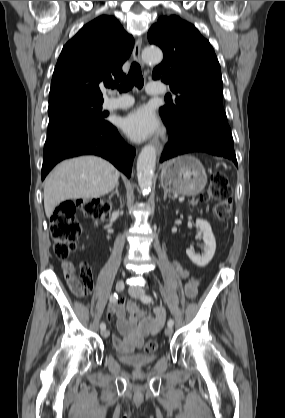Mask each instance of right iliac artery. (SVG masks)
<instances>
[{
    "label": "right iliac artery",
    "instance_id": "82829eb1",
    "mask_svg": "<svg viewBox=\"0 0 285 418\" xmlns=\"http://www.w3.org/2000/svg\"><path fill=\"white\" fill-rule=\"evenodd\" d=\"M117 300H118V294L117 293H114V294H112L110 296V302L111 303H115V302H117ZM100 328H101V330L106 329V324L105 323H101L100 324Z\"/></svg>",
    "mask_w": 285,
    "mask_h": 418
}]
</instances>
